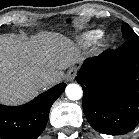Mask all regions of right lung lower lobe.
Instances as JSON below:
<instances>
[{
    "instance_id": "98d812e1",
    "label": "right lung lower lobe",
    "mask_w": 139,
    "mask_h": 139,
    "mask_svg": "<svg viewBox=\"0 0 139 139\" xmlns=\"http://www.w3.org/2000/svg\"><path fill=\"white\" fill-rule=\"evenodd\" d=\"M66 87L60 83L21 106L0 104V138L35 139L44 130L50 107Z\"/></svg>"
}]
</instances>
